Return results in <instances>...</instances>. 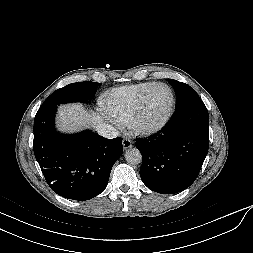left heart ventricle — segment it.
Wrapping results in <instances>:
<instances>
[{"label":"left heart ventricle","instance_id":"b2bd125f","mask_svg":"<svg viewBox=\"0 0 253 253\" xmlns=\"http://www.w3.org/2000/svg\"><path fill=\"white\" fill-rule=\"evenodd\" d=\"M171 103L170 91L163 86L157 87L149 95L143 114L142 123L146 125L157 124L168 113Z\"/></svg>","mask_w":253,"mask_h":253}]
</instances>
